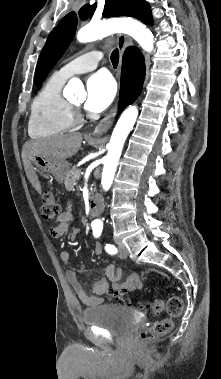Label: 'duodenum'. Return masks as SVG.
Instances as JSON below:
<instances>
[{
	"label": "duodenum",
	"mask_w": 221,
	"mask_h": 379,
	"mask_svg": "<svg viewBox=\"0 0 221 379\" xmlns=\"http://www.w3.org/2000/svg\"><path fill=\"white\" fill-rule=\"evenodd\" d=\"M101 207V202L98 197H93L90 201L89 204V216L90 217H95L98 215Z\"/></svg>",
	"instance_id": "1"
}]
</instances>
